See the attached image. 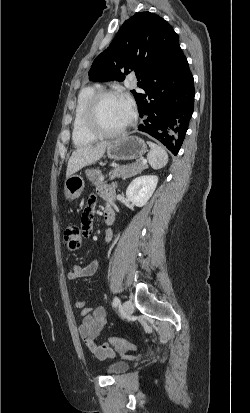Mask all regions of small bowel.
Wrapping results in <instances>:
<instances>
[{
    "label": "small bowel",
    "mask_w": 250,
    "mask_h": 413,
    "mask_svg": "<svg viewBox=\"0 0 250 413\" xmlns=\"http://www.w3.org/2000/svg\"><path fill=\"white\" fill-rule=\"evenodd\" d=\"M99 193L108 201V207L112 208L111 195L113 193L112 187H101ZM96 197L90 196L87 206L82 216V227L80 228V236L82 238H89L92 231V221L94 216ZM112 240V232H106V241L109 243ZM100 267V261L94 260L85 267L74 265L67 273L69 280H77L84 277L92 276ZM75 306L80 309L82 322L78 327V332L84 341L88 350L99 359H105L114 355V350L108 345H99L96 343V338L107 323V313L102 306L88 307L86 300L80 298L76 301Z\"/></svg>",
    "instance_id": "obj_1"
}]
</instances>
